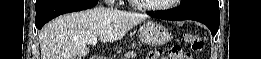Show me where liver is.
<instances>
[{"label": "liver", "mask_w": 261, "mask_h": 59, "mask_svg": "<svg viewBox=\"0 0 261 59\" xmlns=\"http://www.w3.org/2000/svg\"><path fill=\"white\" fill-rule=\"evenodd\" d=\"M145 19L142 14L100 6L59 16L42 28L41 59H81L89 52L90 39L115 42Z\"/></svg>", "instance_id": "6515ba94"}]
</instances>
